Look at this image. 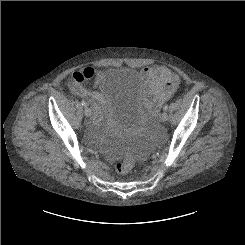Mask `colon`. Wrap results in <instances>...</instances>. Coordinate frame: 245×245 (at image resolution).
Masks as SVG:
<instances>
[{
	"label": "colon",
	"instance_id": "5ec220e1",
	"mask_svg": "<svg viewBox=\"0 0 245 245\" xmlns=\"http://www.w3.org/2000/svg\"><path fill=\"white\" fill-rule=\"evenodd\" d=\"M133 166L134 158L130 153H126L118 158L114 164L115 171L119 174H126L130 172Z\"/></svg>",
	"mask_w": 245,
	"mask_h": 245
}]
</instances>
